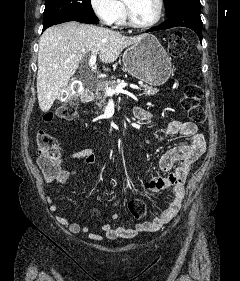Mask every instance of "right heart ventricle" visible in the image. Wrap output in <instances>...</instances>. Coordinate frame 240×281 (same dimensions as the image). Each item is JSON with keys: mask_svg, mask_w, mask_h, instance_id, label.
Wrapping results in <instances>:
<instances>
[{"mask_svg": "<svg viewBox=\"0 0 240 281\" xmlns=\"http://www.w3.org/2000/svg\"><path fill=\"white\" fill-rule=\"evenodd\" d=\"M119 5H120V15L119 18L117 20L118 24H124L126 21V14H125V6L123 3V0L119 1Z\"/></svg>", "mask_w": 240, "mask_h": 281, "instance_id": "right-heart-ventricle-1", "label": "right heart ventricle"}]
</instances>
